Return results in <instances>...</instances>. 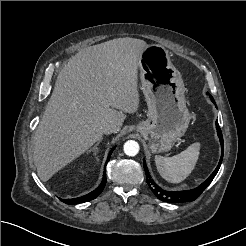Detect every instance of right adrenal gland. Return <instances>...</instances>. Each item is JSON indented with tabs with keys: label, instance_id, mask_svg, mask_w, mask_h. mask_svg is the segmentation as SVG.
<instances>
[{
	"label": "right adrenal gland",
	"instance_id": "right-adrenal-gland-1",
	"mask_svg": "<svg viewBox=\"0 0 246 246\" xmlns=\"http://www.w3.org/2000/svg\"><path fill=\"white\" fill-rule=\"evenodd\" d=\"M102 139H103V138H101V139L94 145V147H93L92 149L89 150V151H93V152H94V155H96V154L98 153V151H99L98 146H99L100 142L102 141Z\"/></svg>",
	"mask_w": 246,
	"mask_h": 246
}]
</instances>
